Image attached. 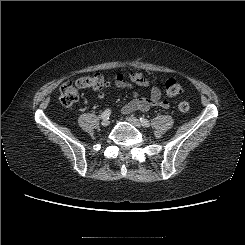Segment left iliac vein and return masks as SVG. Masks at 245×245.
Returning a JSON list of instances; mask_svg holds the SVG:
<instances>
[{"label": "left iliac vein", "mask_w": 245, "mask_h": 245, "mask_svg": "<svg viewBox=\"0 0 245 245\" xmlns=\"http://www.w3.org/2000/svg\"><path fill=\"white\" fill-rule=\"evenodd\" d=\"M126 119H127V121H128L129 123H131V124L134 125L135 127L141 128L142 124H141L140 120L137 119L136 117L129 116V117H127Z\"/></svg>", "instance_id": "4c4485c4"}]
</instances>
